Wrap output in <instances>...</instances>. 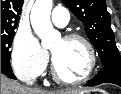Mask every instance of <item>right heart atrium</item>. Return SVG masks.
I'll return each mask as SVG.
<instances>
[{
  "label": "right heart atrium",
  "mask_w": 121,
  "mask_h": 94,
  "mask_svg": "<svg viewBox=\"0 0 121 94\" xmlns=\"http://www.w3.org/2000/svg\"><path fill=\"white\" fill-rule=\"evenodd\" d=\"M48 54L30 32H19L14 39L11 63L15 74L24 80L39 76L46 67Z\"/></svg>",
  "instance_id": "d8ad5b80"
}]
</instances>
